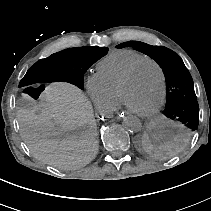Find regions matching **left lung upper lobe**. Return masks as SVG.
<instances>
[{
  "mask_svg": "<svg viewBox=\"0 0 211 211\" xmlns=\"http://www.w3.org/2000/svg\"><path fill=\"white\" fill-rule=\"evenodd\" d=\"M117 48L133 47L153 58L163 69L166 79V106L163 114L180 121L187 133L199 123V106L192 77L183 60L174 51L163 46H151L143 42L129 41Z\"/></svg>",
  "mask_w": 211,
  "mask_h": 211,
  "instance_id": "left-lung-upper-lobe-1",
  "label": "left lung upper lobe"
}]
</instances>
